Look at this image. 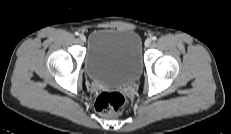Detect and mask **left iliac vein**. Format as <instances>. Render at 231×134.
Listing matches in <instances>:
<instances>
[{
  "label": "left iliac vein",
  "mask_w": 231,
  "mask_h": 134,
  "mask_svg": "<svg viewBox=\"0 0 231 134\" xmlns=\"http://www.w3.org/2000/svg\"><path fill=\"white\" fill-rule=\"evenodd\" d=\"M151 43H152V40L150 38H148V39L145 40L144 44H145L146 47H149L151 45Z\"/></svg>",
  "instance_id": "obj_1"
}]
</instances>
